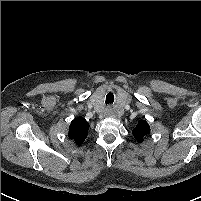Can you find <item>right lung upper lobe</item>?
Here are the masks:
<instances>
[{"label": "right lung upper lobe", "instance_id": "cb5924a9", "mask_svg": "<svg viewBox=\"0 0 201 201\" xmlns=\"http://www.w3.org/2000/svg\"><path fill=\"white\" fill-rule=\"evenodd\" d=\"M88 129V122L85 119L78 117L71 122L68 135L77 145H80L86 139Z\"/></svg>", "mask_w": 201, "mask_h": 201}]
</instances>
